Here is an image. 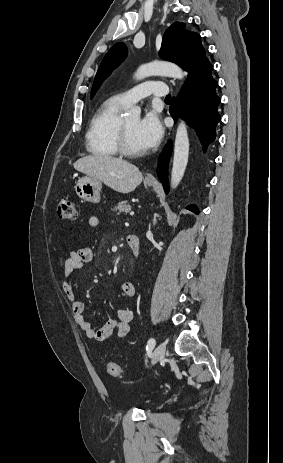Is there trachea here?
I'll return each instance as SVG.
<instances>
[{
  "label": "trachea",
  "instance_id": "1",
  "mask_svg": "<svg viewBox=\"0 0 283 463\" xmlns=\"http://www.w3.org/2000/svg\"><path fill=\"white\" fill-rule=\"evenodd\" d=\"M165 100H166V101H170V100H171V95L168 94V95L166 96Z\"/></svg>",
  "mask_w": 283,
  "mask_h": 463
}]
</instances>
